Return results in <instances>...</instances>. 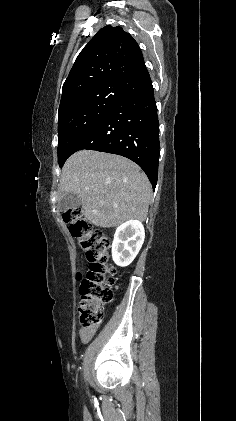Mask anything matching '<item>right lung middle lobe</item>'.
<instances>
[{"mask_svg": "<svg viewBox=\"0 0 236 421\" xmlns=\"http://www.w3.org/2000/svg\"><path fill=\"white\" fill-rule=\"evenodd\" d=\"M120 86L79 93L62 104L58 113V162L62 167L77 142L124 97Z\"/></svg>", "mask_w": 236, "mask_h": 421, "instance_id": "right-lung-middle-lobe-1", "label": "right lung middle lobe"}]
</instances>
